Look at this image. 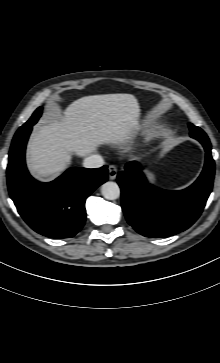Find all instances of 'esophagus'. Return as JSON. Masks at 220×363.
Here are the masks:
<instances>
[{
	"instance_id": "obj_1",
	"label": "esophagus",
	"mask_w": 220,
	"mask_h": 363,
	"mask_svg": "<svg viewBox=\"0 0 220 363\" xmlns=\"http://www.w3.org/2000/svg\"><path fill=\"white\" fill-rule=\"evenodd\" d=\"M108 170H109V172H108L109 179L114 180L117 176V168L114 165H110L108 167Z\"/></svg>"
}]
</instances>
